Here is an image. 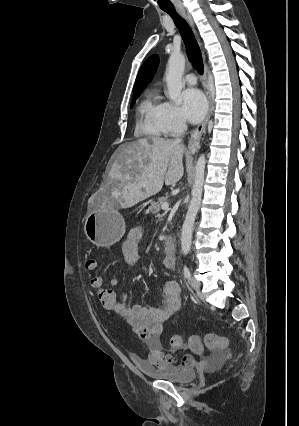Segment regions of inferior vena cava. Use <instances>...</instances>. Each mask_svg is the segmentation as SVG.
<instances>
[{"label": "inferior vena cava", "mask_w": 299, "mask_h": 426, "mask_svg": "<svg viewBox=\"0 0 299 426\" xmlns=\"http://www.w3.org/2000/svg\"><path fill=\"white\" fill-rule=\"evenodd\" d=\"M183 129H185V130L187 129V125H186L185 123L183 124ZM175 142H176V143H181V142H182V139H181V138H176V139H175Z\"/></svg>", "instance_id": "inferior-vena-cava-1"}]
</instances>
